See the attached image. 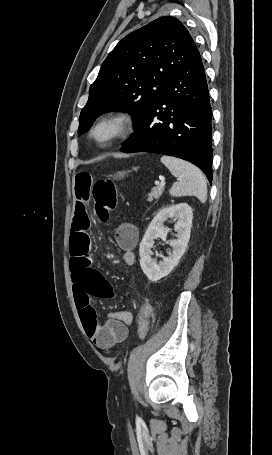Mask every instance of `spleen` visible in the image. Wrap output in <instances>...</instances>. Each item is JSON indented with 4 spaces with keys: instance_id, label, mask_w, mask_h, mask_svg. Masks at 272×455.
<instances>
[{
    "instance_id": "obj_1",
    "label": "spleen",
    "mask_w": 272,
    "mask_h": 455,
    "mask_svg": "<svg viewBox=\"0 0 272 455\" xmlns=\"http://www.w3.org/2000/svg\"><path fill=\"white\" fill-rule=\"evenodd\" d=\"M161 162L178 179L169 190L171 196H195L200 202H206L207 182L203 173L196 166L170 156H162Z\"/></svg>"
}]
</instances>
